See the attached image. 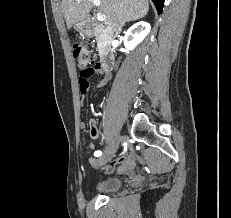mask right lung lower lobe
I'll return each mask as SVG.
<instances>
[{"label":"right lung lower lobe","mask_w":231,"mask_h":218,"mask_svg":"<svg viewBox=\"0 0 231 218\" xmlns=\"http://www.w3.org/2000/svg\"><path fill=\"white\" fill-rule=\"evenodd\" d=\"M153 3L155 4V7L158 11V13L160 14L163 8V4L165 0H152Z\"/></svg>","instance_id":"98d812e1"}]
</instances>
